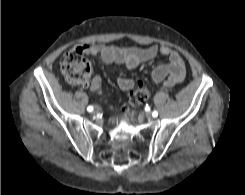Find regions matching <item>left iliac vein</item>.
Listing matches in <instances>:
<instances>
[{
    "mask_svg": "<svg viewBox=\"0 0 245 195\" xmlns=\"http://www.w3.org/2000/svg\"><path fill=\"white\" fill-rule=\"evenodd\" d=\"M146 117H147L148 119H151V118H152V115H151L150 113H147V114H146Z\"/></svg>",
    "mask_w": 245,
    "mask_h": 195,
    "instance_id": "1",
    "label": "left iliac vein"
}]
</instances>
